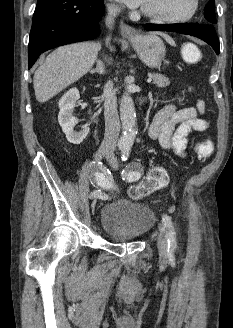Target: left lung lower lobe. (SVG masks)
Wrapping results in <instances>:
<instances>
[{
  "mask_svg": "<svg viewBox=\"0 0 233 328\" xmlns=\"http://www.w3.org/2000/svg\"><path fill=\"white\" fill-rule=\"evenodd\" d=\"M148 31H171L181 34L195 36L208 43L219 54V40L214 28L197 23H177V24H145Z\"/></svg>",
  "mask_w": 233,
  "mask_h": 328,
  "instance_id": "left-lung-lower-lobe-1",
  "label": "left lung lower lobe"
}]
</instances>
